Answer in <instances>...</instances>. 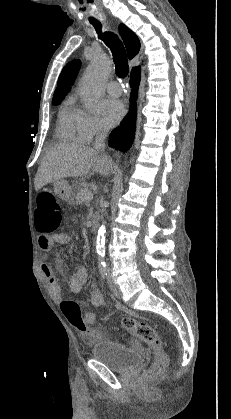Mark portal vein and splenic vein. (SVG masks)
I'll return each mask as SVG.
<instances>
[{
    "instance_id": "obj_1",
    "label": "portal vein and splenic vein",
    "mask_w": 231,
    "mask_h": 419,
    "mask_svg": "<svg viewBox=\"0 0 231 419\" xmlns=\"http://www.w3.org/2000/svg\"><path fill=\"white\" fill-rule=\"evenodd\" d=\"M85 199L88 200V201L92 200L93 199V194L92 193H86L85 194Z\"/></svg>"
}]
</instances>
